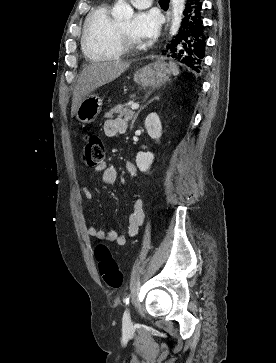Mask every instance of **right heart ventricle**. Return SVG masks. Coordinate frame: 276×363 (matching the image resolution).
Returning <instances> with one entry per match:
<instances>
[{
	"instance_id": "obj_1",
	"label": "right heart ventricle",
	"mask_w": 276,
	"mask_h": 363,
	"mask_svg": "<svg viewBox=\"0 0 276 363\" xmlns=\"http://www.w3.org/2000/svg\"><path fill=\"white\" fill-rule=\"evenodd\" d=\"M116 21L110 14V6L100 4L87 17L81 44L85 56L92 61L114 60L121 56L115 39Z\"/></svg>"
}]
</instances>
